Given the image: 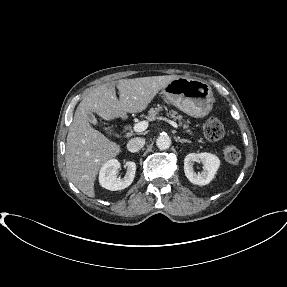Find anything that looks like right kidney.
<instances>
[{
  "label": "right kidney",
  "mask_w": 287,
  "mask_h": 287,
  "mask_svg": "<svg viewBox=\"0 0 287 287\" xmlns=\"http://www.w3.org/2000/svg\"><path fill=\"white\" fill-rule=\"evenodd\" d=\"M120 165V162L116 159H110L102 165L99 172V182L102 187L111 191H117L131 185L136 172L135 162L127 161L125 163L127 171L123 178L117 177Z\"/></svg>",
  "instance_id": "right-kidney-1"
}]
</instances>
